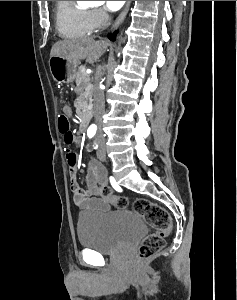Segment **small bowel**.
<instances>
[{
	"mask_svg": "<svg viewBox=\"0 0 237 300\" xmlns=\"http://www.w3.org/2000/svg\"><path fill=\"white\" fill-rule=\"evenodd\" d=\"M63 114L71 117V110L68 107L63 109ZM68 170L70 172V185L73 193L75 205L82 210L107 211L110 209V201L101 197L100 187L108 184L105 168L97 163L91 162L89 165L86 188L80 187L77 174L79 172V156L74 151H69L66 156Z\"/></svg>",
	"mask_w": 237,
	"mask_h": 300,
	"instance_id": "obj_1",
	"label": "small bowel"
}]
</instances>
